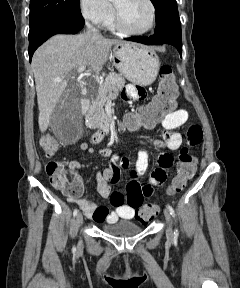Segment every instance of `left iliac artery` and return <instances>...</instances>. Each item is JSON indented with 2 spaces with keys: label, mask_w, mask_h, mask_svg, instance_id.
I'll use <instances>...</instances> for the list:
<instances>
[{
  "label": "left iliac artery",
  "mask_w": 240,
  "mask_h": 288,
  "mask_svg": "<svg viewBox=\"0 0 240 288\" xmlns=\"http://www.w3.org/2000/svg\"><path fill=\"white\" fill-rule=\"evenodd\" d=\"M167 208L169 209L170 213H171L173 216H175V211H174L173 207H172L170 204H167ZM178 235H179V232H178V229H176L175 232H174L175 238H177Z\"/></svg>",
  "instance_id": "44dca946"
}]
</instances>
